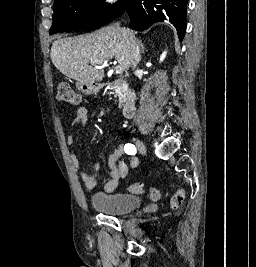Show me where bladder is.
I'll return each instance as SVG.
<instances>
[{"label":"bladder","instance_id":"1","mask_svg":"<svg viewBox=\"0 0 256 267\" xmlns=\"http://www.w3.org/2000/svg\"><path fill=\"white\" fill-rule=\"evenodd\" d=\"M141 203L142 199L138 195L123 192H115L110 195L94 193L91 197V204L94 209L110 214L131 212Z\"/></svg>","mask_w":256,"mask_h":267}]
</instances>
